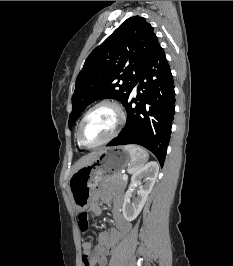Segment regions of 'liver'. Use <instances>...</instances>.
I'll return each instance as SVG.
<instances>
[{"instance_id": "liver-1", "label": "liver", "mask_w": 233, "mask_h": 266, "mask_svg": "<svg viewBox=\"0 0 233 266\" xmlns=\"http://www.w3.org/2000/svg\"><path fill=\"white\" fill-rule=\"evenodd\" d=\"M102 151L103 150L95 151L79 159V161L74 166V172L80 169L81 167L91 164L102 153Z\"/></svg>"}]
</instances>
